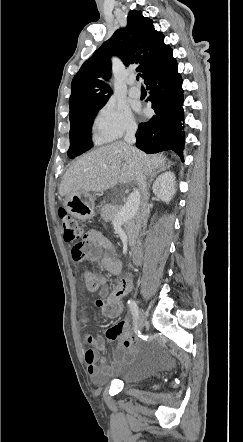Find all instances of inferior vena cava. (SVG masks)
I'll list each match as a JSON object with an SVG mask.
<instances>
[{"instance_id":"602c4592","label":"inferior vena cava","mask_w":243,"mask_h":442,"mask_svg":"<svg viewBox=\"0 0 243 442\" xmlns=\"http://www.w3.org/2000/svg\"><path fill=\"white\" fill-rule=\"evenodd\" d=\"M137 127L132 126L128 128L126 135L124 137V141L128 144V146L133 145L136 142L135 133H136ZM135 166H136V183L140 190V196H141V209L140 212H138V226L140 235L144 234V230L146 227L147 219H148V209H147V188H146V176L142 170V166L139 162V159L137 156L133 153ZM140 198L137 197V205L139 206Z\"/></svg>"}]
</instances>
